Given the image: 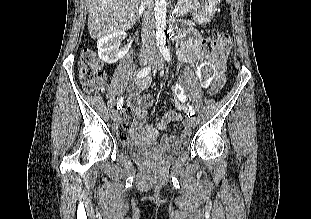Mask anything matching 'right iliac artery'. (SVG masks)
Here are the masks:
<instances>
[{
	"label": "right iliac artery",
	"mask_w": 311,
	"mask_h": 219,
	"mask_svg": "<svg viewBox=\"0 0 311 219\" xmlns=\"http://www.w3.org/2000/svg\"><path fill=\"white\" fill-rule=\"evenodd\" d=\"M150 70H151L150 66L141 69L137 74V78H141L148 75ZM122 106H123V98H120L117 103V108L120 109Z\"/></svg>",
	"instance_id": "82829eb1"
}]
</instances>
